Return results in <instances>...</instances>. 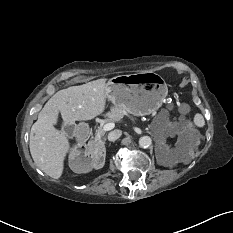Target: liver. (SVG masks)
<instances>
[{
	"label": "liver",
	"instance_id": "6515ba94",
	"mask_svg": "<svg viewBox=\"0 0 233 233\" xmlns=\"http://www.w3.org/2000/svg\"><path fill=\"white\" fill-rule=\"evenodd\" d=\"M106 80L98 79L80 86L56 92L38 114L30 132L29 148L38 168L48 176L58 179L64 168V159L70 150L68 134L57 130L58 115L64 125L87 121L102 114L106 108Z\"/></svg>",
	"mask_w": 233,
	"mask_h": 233
}]
</instances>
